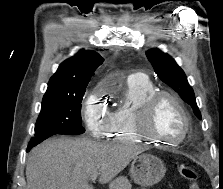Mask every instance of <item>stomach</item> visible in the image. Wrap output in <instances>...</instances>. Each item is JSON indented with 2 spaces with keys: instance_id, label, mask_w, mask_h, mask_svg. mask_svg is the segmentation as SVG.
I'll return each mask as SVG.
<instances>
[{
  "instance_id": "0dacf381",
  "label": "stomach",
  "mask_w": 223,
  "mask_h": 189,
  "mask_svg": "<svg viewBox=\"0 0 223 189\" xmlns=\"http://www.w3.org/2000/svg\"><path fill=\"white\" fill-rule=\"evenodd\" d=\"M166 172L161 159L151 154H141L132 159L130 176L135 183L151 186L159 182Z\"/></svg>"
}]
</instances>
